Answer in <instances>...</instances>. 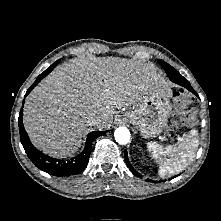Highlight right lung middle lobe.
<instances>
[{
  "instance_id": "dd1d6c3e",
  "label": "right lung middle lobe",
  "mask_w": 221,
  "mask_h": 221,
  "mask_svg": "<svg viewBox=\"0 0 221 221\" xmlns=\"http://www.w3.org/2000/svg\"><path fill=\"white\" fill-rule=\"evenodd\" d=\"M58 62H59V60L58 61H56L55 63H53L49 68H54L57 64H58Z\"/></svg>"
}]
</instances>
